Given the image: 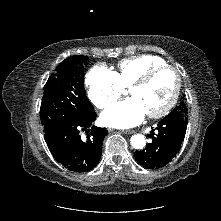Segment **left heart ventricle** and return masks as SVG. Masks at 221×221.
I'll return each mask as SVG.
<instances>
[{
	"label": "left heart ventricle",
	"mask_w": 221,
	"mask_h": 221,
	"mask_svg": "<svg viewBox=\"0 0 221 221\" xmlns=\"http://www.w3.org/2000/svg\"><path fill=\"white\" fill-rule=\"evenodd\" d=\"M175 84V74L170 70H164L157 73L145 86L130 90V94L142 103L146 113H152L167 104Z\"/></svg>",
	"instance_id": "obj_1"
}]
</instances>
